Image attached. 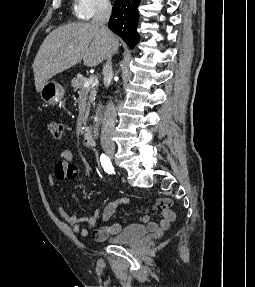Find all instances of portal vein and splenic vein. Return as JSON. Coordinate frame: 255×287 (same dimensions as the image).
<instances>
[{
  "label": "portal vein and splenic vein",
  "instance_id": "1",
  "mask_svg": "<svg viewBox=\"0 0 255 287\" xmlns=\"http://www.w3.org/2000/svg\"><path fill=\"white\" fill-rule=\"evenodd\" d=\"M94 82H98V78H95V76H90V80L84 84V88H89L91 84H94Z\"/></svg>",
  "mask_w": 255,
  "mask_h": 287
}]
</instances>
